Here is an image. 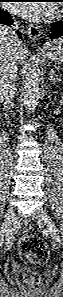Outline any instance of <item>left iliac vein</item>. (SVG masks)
Returning a JSON list of instances; mask_svg holds the SVG:
<instances>
[{
  "label": "left iliac vein",
  "instance_id": "4c4485c4",
  "mask_svg": "<svg viewBox=\"0 0 63 297\" xmlns=\"http://www.w3.org/2000/svg\"><path fill=\"white\" fill-rule=\"evenodd\" d=\"M35 216L39 221H42L44 223L51 237L55 241H59L60 237L58 229L48 212L44 208L38 207L35 211Z\"/></svg>",
  "mask_w": 63,
  "mask_h": 297
}]
</instances>
